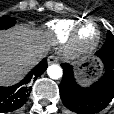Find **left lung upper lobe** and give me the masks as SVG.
<instances>
[{"instance_id":"1","label":"left lung upper lobe","mask_w":114,"mask_h":114,"mask_svg":"<svg viewBox=\"0 0 114 114\" xmlns=\"http://www.w3.org/2000/svg\"><path fill=\"white\" fill-rule=\"evenodd\" d=\"M102 49L114 50V36L110 31L107 33V40L104 43Z\"/></svg>"}]
</instances>
